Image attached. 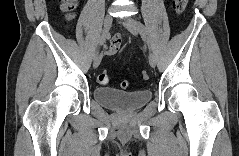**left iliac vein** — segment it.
Wrapping results in <instances>:
<instances>
[{
	"label": "left iliac vein",
	"instance_id": "obj_1",
	"mask_svg": "<svg viewBox=\"0 0 239 156\" xmlns=\"http://www.w3.org/2000/svg\"><path fill=\"white\" fill-rule=\"evenodd\" d=\"M121 23L129 30L130 33L133 35H138L139 28H138V22L133 18H126L121 21ZM149 64L151 67H155L156 65V59L152 53L149 54Z\"/></svg>",
	"mask_w": 239,
	"mask_h": 156
}]
</instances>
